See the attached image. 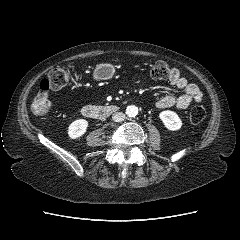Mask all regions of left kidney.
I'll list each match as a JSON object with an SVG mask.
<instances>
[{"label": "left kidney", "mask_w": 240, "mask_h": 240, "mask_svg": "<svg viewBox=\"0 0 240 240\" xmlns=\"http://www.w3.org/2000/svg\"><path fill=\"white\" fill-rule=\"evenodd\" d=\"M160 119L162 120L164 126L171 131L179 130L182 126V121L179 116L170 110L162 111L159 114Z\"/></svg>", "instance_id": "left-kidney-1"}]
</instances>
